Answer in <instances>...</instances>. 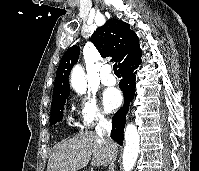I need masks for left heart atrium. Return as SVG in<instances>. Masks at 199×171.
Masks as SVG:
<instances>
[{"label":"left heart atrium","instance_id":"1","mask_svg":"<svg viewBox=\"0 0 199 171\" xmlns=\"http://www.w3.org/2000/svg\"><path fill=\"white\" fill-rule=\"evenodd\" d=\"M121 93L114 88L108 89L103 94V105L107 111H113L121 105Z\"/></svg>","mask_w":199,"mask_h":171}]
</instances>
